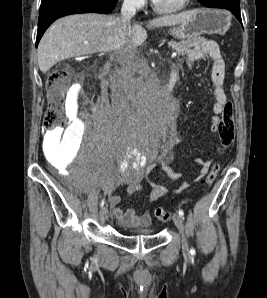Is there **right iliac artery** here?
I'll return each mask as SVG.
<instances>
[{"instance_id": "1", "label": "right iliac artery", "mask_w": 267, "mask_h": 298, "mask_svg": "<svg viewBox=\"0 0 267 298\" xmlns=\"http://www.w3.org/2000/svg\"><path fill=\"white\" fill-rule=\"evenodd\" d=\"M104 204H105V200H104V199H102V200H101V202H100V206H101V207H103V206H104Z\"/></svg>"}]
</instances>
